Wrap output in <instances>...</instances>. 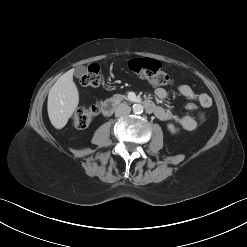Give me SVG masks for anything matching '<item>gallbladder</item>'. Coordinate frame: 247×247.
<instances>
[{
    "label": "gallbladder",
    "mask_w": 247,
    "mask_h": 247,
    "mask_svg": "<svg viewBox=\"0 0 247 247\" xmlns=\"http://www.w3.org/2000/svg\"><path fill=\"white\" fill-rule=\"evenodd\" d=\"M86 72V68L84 66H78L76 69H75V76L77 77H80L82 76L84 73Z\"/></svg>",
    "instance_id": "obj_1"
}]
</instances>
